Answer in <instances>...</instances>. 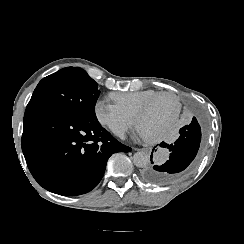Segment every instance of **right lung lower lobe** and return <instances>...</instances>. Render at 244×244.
<instances>
[{
	"instance_id": "98d812e1",
	"label": "right lung lower lobe",
	"mask_w": 244,
	"mask_h": 244,
	"mask_svg": "<svg viewBox=\"0 0 244 244\" xmlns=\"http://www.w3.org/2000/svg\"><path fill=\"white\" fill-rule=\"evenodd\" d=\"M21 143L35 180L65 196L91 191L102 179L108 158L118 151H131L98 120L50 108H26Z\"/></svg>"
}]
</instances>
